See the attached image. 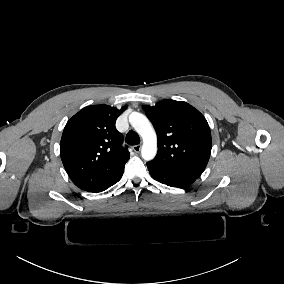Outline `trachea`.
Returning a JSON list of instances; mask_svg holds the SVG:
<instances>
[{"label":"trachea","mask_w":284,"mask_h":284,"mask_svg":"<svg viewBox=\"0 0 284 284\" xmlns=\"http://www.w3.org/2000/svg\"><path fill=\"white\" fill-rule=\"evenodd\" d=\"M125 141L129 145H137L140 143V138H139V135L135 131L130 130L126 135Z\"/></svg>","instance_id":"obj_1"}]
</instances>
